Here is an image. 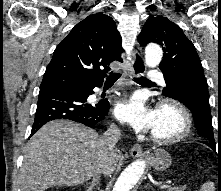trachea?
Instances as JSON below:
<instances>
[{"label":"trachea","instance_id":"1","mask_svg":"<svg viewBox=\"0 0 221 191\" xmlns=\"http://www.w3.org/2000/svg\"><path fill=\"white\" fill-rule=\"evenodd\" d=\"M121 74L120 73H111L107 78H106V84H114L119 78H120ZM135 81L139 84H154L153 82H151L150 80L144 78V77H138V78H134Z\"/></svg>","mask_w":221,"mask_h":191}]
</instances>
